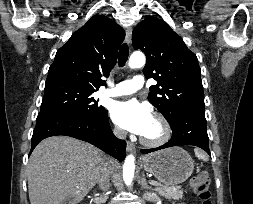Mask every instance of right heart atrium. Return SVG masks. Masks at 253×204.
Segmentation results:
<instances>
[{"instance_id": "obj_1", "label": "right heart atrium", "mask_w": 253, "mask_h": 204, "mask_svg": "<svg viewBox=\"0 0 253 204\" xmlns=\"http://www.w3.org/2000/svg\"><path fill=\"white\" fill-rule=\"evenodd\" d=\"M113 132L116 136L121 137L123 135V131L118 126H115Z\"/></svg>"}]
</instances>
